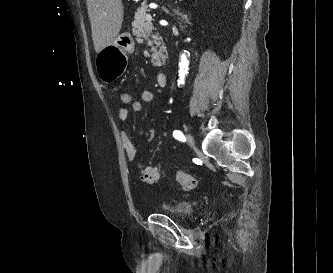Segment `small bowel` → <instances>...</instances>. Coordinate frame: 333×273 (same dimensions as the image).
Returning <instances> with one entry per match:
<instances>
[{
  "mask_svg": "<svg viewBox=\"0 0 333 273\" xmlns=\"http://www.w3.org/2000/svg\"><path fill=\"white\" fill-rule=\"evenodd\" d=\"M153 101L152 91L145 89L140 94V100H131V109L134 113H140L143 110L144 104H149ZM117 118L120 121H126L129 118V111L127 108L121 107L117 110ZM121 140L125 149L128 161L135 162L137 160V150L134 147L131 136L126 130H121Z\"/></svg>",
  "mask_w": 333,
  "mask_h": 273,
  "instance_id": "small-bowel-1",
  "label": "small bowel"
}]
</instances>
